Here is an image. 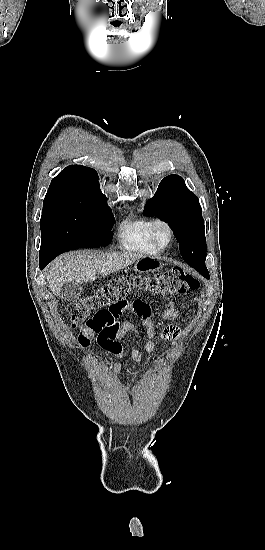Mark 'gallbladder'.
<instances>
[{
  "label": "gallbladder",
  "mask_w": 265,
  "mask_h": 550,
  "mask_svg": "<svg viewBox=\"0 0 265 550\" xmlns=\"http://www.w3.org/2000/svg\"><path fill=\"white\" fill-rule=\"evenodd\" d=\"M82 294V286L78 283H65L61 289L62 297L67 301H74Z\"/></svg>",
  "instance_id": "gallbladder-1"
}]
</instances>
